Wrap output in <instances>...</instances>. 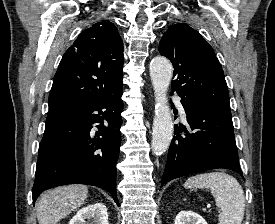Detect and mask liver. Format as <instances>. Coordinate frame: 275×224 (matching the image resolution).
<instances>
[{"instance_id": "obj_1", "label": "liver", "mask_w": 275, "mask_h": 224, "mask_svg": "<svg viewBox=\"0 0 275 224\" xmlns=\"http://www.w3.org/2000/svg\"><path fill=\"white\" fill-rule=\"evenodd\" d=\"M87 195L85 185L61 186L44 192L36 202L39 224H57L82 206Z\"/></svg>"}]
</instances>
